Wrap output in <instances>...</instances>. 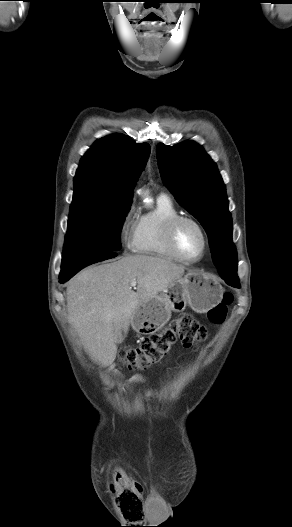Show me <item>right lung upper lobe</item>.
<instances>
[{"label": "right lung upper lobe", "mask_w": 292, "mask_h": 527, "mask_svg": "<svg viewBox=\"0 0 292 527\" xmlns=\"http://www.w3.org/2000/svg\"><path fill=\"white\" fill-rule=\"evenodd\" d=\"M150 154L147 143L113 134L97 140L81 158L75 190H93L113 200H131Z\"/></svg>", "instance_id": "obj_1"}]
</instances>
